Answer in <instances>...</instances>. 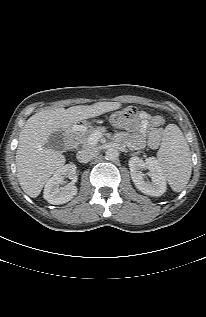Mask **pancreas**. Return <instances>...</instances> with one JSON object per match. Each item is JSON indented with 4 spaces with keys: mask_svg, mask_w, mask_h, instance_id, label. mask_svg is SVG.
<instances>
[{
    "mask_svg": "<svg viewBox=\"0 0 206 317\" xmlns=\"http://www.w3.org/2000/svg\"><path fill=\"white\" fill-rule=\"evenodd\" d=\"M105 131L104 127H91L80 132H75L74 144L88 146L90 144L89 138L94 133H103Z\"/></svg>",
    "mask_w": 206,
    "mask_h": 317,
    "instance_id": "cf45deb5",
    "label": "pancreas"
}]
</instances>
